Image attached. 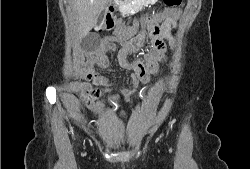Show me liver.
<instances>
[{
	"instance_id": "obj_1",
	"label": "liver",
	"mask_w": 250,
	"mask_h": 169,
	"mask_svg": "<svg viewBox=\"0 0 250 169\" xmlns=\"http://www.w3.org/2000/svg\"><path fill=\"white\" fill-rule=\"evenodd\" d=\"M111 0H72L76 14L77 32L82 38L95 26L98 16Z\"/></svg>"
}]
</instances>
